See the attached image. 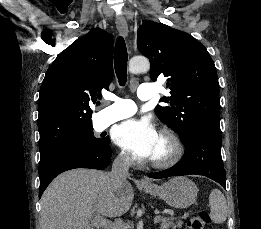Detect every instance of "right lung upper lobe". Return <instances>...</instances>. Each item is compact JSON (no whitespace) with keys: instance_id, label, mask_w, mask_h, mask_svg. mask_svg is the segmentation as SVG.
Listing matches in <instances>:
<instances>
[{"instance_id":"1","label":"right lung upper lobe","mask_w":261,"mask_h":229,"mask_svg":"<svg viewBox=\"0 0 261 229\" xmlns=\"http://www.w3.org/2000/svg\"><path fill=\"white\" fill-rule=\"evenodd\" d=\"M113 39L93 28L61 52L46 72L38 100L39 149L54 148L93 130L90 105L109 90Z\"/></svg>"}]
</instances>
